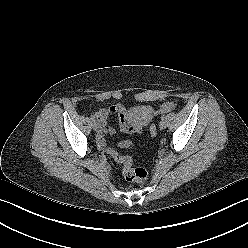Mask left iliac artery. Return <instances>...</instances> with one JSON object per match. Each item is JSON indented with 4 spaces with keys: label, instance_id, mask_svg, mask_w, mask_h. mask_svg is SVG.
<instances>
[{
    "label": "left iliac artery",
    "instance_id": "obj_1",
    "mask_svg": "<svg viewBox=\"0 0 248 248\" xmlns=\"http://www.w3.org/2000/svg\"><path fill=\"white\" fill-rule=\"evenodd\" d=\"M161 118H162V120H164L165 119V115H163Z\"/></svg>",
    "mask_w": 248,
    "mask_h": 248
}]
</instances>
